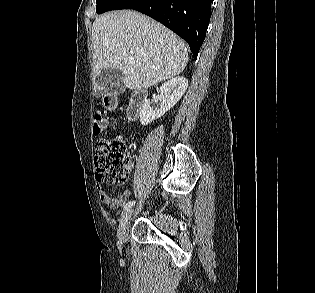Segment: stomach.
Returning a JSON list of instances; mask_svg holds the SVG:
<instances>
[{
  "mask_svg": "<svg viewBox=\"0 0 315 293\" xmlns=\"http://www.w3.org/2000/svg\"><path fill=\"white\" fill-rule=\"evenodd\" d=\"M117 103H119V96H116L115 92H106L103 99L106 110H117Z\"/></svg>",
  "mask_w": 315,
  "mask_h": 293,
  "instance_id": "obj_1",
  "label": "stomach"
}]
</instances>
